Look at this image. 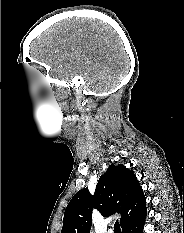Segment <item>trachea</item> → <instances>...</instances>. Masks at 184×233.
<instances>
[{"mask_svg":"<svg viewBox=\"0 0 184 233\" xmlns=\"http://www.w3.org/2000/svg\"><path fill=\"white\" fill-rule=\"evenodd\" d=\"M114 233H121V228L118 221H116L114 224Z\"/></svg>","mask_w":184,"mask_h":233,"instance_id":"1","label":"trachea"}]
</instances>
